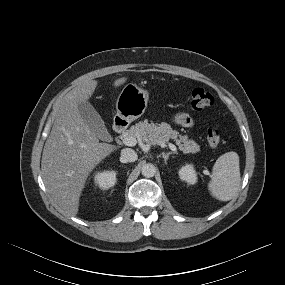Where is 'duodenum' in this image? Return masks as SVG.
Masks as SVG:
<instances>
[{
    "mask_svg": "<svg viewBox=\"0 0 285 285\" xmlns=\"http://www.w3.org/2000/svg\"><path fill=\"white\" fill-rule=\"evenodd\" d=\"M127 129V122L123 118H116L114 121V130L118 134H122Z\"/></svg>",
    "mask_w": 285,
    "mask_h": 285,
    "instance_id": "obj_1",
    "label": "duodenum"
}]
</instances>
